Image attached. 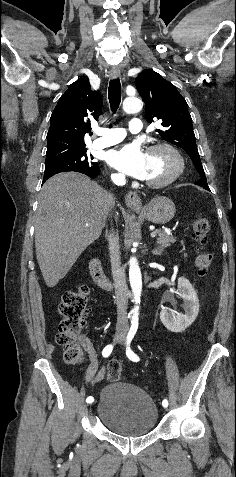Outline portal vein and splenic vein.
I'll return each mask as SVG.
<instances>
[{
	"label": "portal vein and splenic vein",
	"instance_id": "obj_1",
	"mask_svg": "<svg viewBox=\"0 0 236 477\" xmlns=\"http://www.w3.org/2000/svg\"><path fill=\"white\" fill-rule=\"evenodd\" d=\"M156 235H157V234H156V232H155V231H154V232H152V233L150 234L151 238H155V237H156Z\"/></svg>",
	"mask_w": 236,
	"mask_h": 477
}]
</instances>
